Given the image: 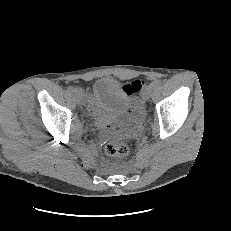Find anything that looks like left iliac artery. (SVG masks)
Returning <instances> with one entry per match:
<instances>
[{
    "mask_svg": "<svg viewBox=\"0 0 231 231\" xmlns=\"http://www.w3.org/2000/svg\"><path fill=\"white\" fill-rule=\"evenodd\" d=\"M151 86H152V88H157V87H159V81H153L151 84H150Z\"/></svg>",
    "mask_w": 231,
    "mask_h": 231,
    "instance_id": "44dca946",
    "label": "left iliac artery"
}]
</instances>
